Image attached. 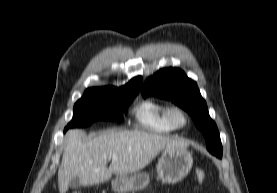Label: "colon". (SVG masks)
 Listing matches in <instances>:
<instances>
[{
  "label": "colon",
  "mask_w": 277,
  "mask_h": 193,
  "mask_svg": "<svg viewBox=\"0 0 277 193\" xmlns=\"http://www.w3.org/2000/svg\"><path fill=\"white\" fill-rule=\"evenodd\" d=\"M195 175H196V179L199 183L204 182L206 175L202 169H197L195 172ZM73 193H80V192H73Z\"/></svg>",
  "instance_id": "5ec220e1"
}]
</instances>
